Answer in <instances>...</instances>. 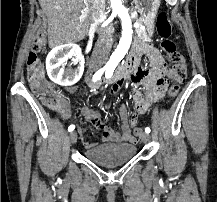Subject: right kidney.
<instances>
[{
    "instance_id": "1",
    "label": "right kidney",
    "mask_w": 217,
    "mask_h": 202,
    "mask_svg": "<svg viewBox=\"0 0 217 202\" xmlns=\"http://www.w3.org/2000/svg\"><path fill=\"white\" fill-rule=\"evenodd\" d=\"M74 56V58H73ZM69 58H73L75 64H79L75 70H68L65 72L63 68H60L64 62H67ZM84 56H82L81 48L76 44H64V46H57L49 52L46 58V70L47 74L52 80L59 86H74L79 82L84 72Z\"/></svg>"
}]
</instances>
